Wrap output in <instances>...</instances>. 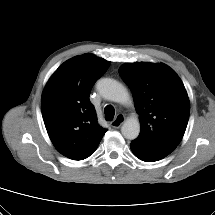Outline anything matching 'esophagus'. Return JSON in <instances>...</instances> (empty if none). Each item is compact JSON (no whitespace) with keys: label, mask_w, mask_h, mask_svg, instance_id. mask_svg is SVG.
Returning a JSON list of instances; mask_svg holds the SVG:
<instances>
[{"label":"esophagus","mask_w":215,"mask_h":215,"mask_svg":"<svg viewBox=\"0 0 215 215\" xmlns=\"http://www.w3.org/2000/svg\"><path fill=\"white\" fill-rule=\"evenodd\" d=\"M125 122V117L122 114H118L117 117L111 122L113 128H119Z\"/></svg>","instance_id":"obj_1"}]
</instances>
